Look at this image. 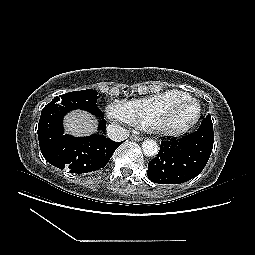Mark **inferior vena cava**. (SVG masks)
<instances>
[{
    "mask_svg": "<svg viewBox=\"0 0 255 255\" xmlns=\"http://www.w3.org/2000/svg\"><path fill=\"white\" fill-rule=\"evenodd\" d=\"M107 135L111 140L121 142L129 137V131L120 125L110 124L107 127Z\"/></svg>",
    "mask_w": 255,
    "mask_h": 255,
    "instance_id": "602c4592",
    "label": "inferior vena cava"
}]
</instances>
